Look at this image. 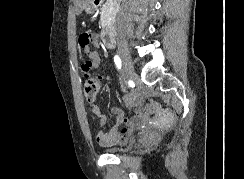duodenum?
<instances>
[{"mask_svg":"<svg viewBox=\"0 0 244 179\" xmlns=\"http://www.w3.org/2000/svg\"><path fill=\"white\" fill-rule=\"evenodd\" d=\"M107 0H94L92 1V6L91 9L92 10H97L98 6H102V3H106ZM116 31H115V27H114V23L108 21L104 26H103V31L101 33V39L103 41V43L111 48L114 47L116 44Z\"/></svg>","mask_w":244,"mask_h":179,"instance_id":"410a0bca","label":"duodenum"}]
</instances>
